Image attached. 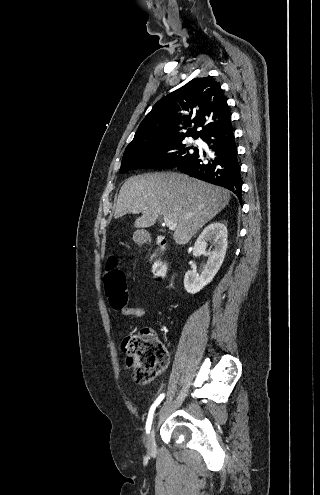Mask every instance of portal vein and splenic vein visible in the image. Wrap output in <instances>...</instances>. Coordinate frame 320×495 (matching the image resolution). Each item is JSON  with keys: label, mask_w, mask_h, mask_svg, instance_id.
<instances>
[{"label": "portal vein and splenic vein", "mask_w": 320, "mask_h": 495, "mask_svg": "<svg viewBox=\"0 0 320 495\" xmlns=\"http://www.w3.org/2000/svg\"><path fill=\"white\" fill-rule=\"evenodd\" d=\"M163 220H164V223L167 225V227L170 229V230H174L175 229V225L172 223L171 219L167 216H163Z\"/></svg>", "instance_id": "portal-vein-and-splenic-vein-1"}]
</instances>
